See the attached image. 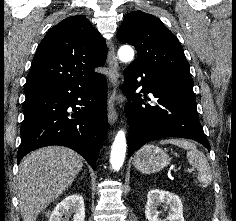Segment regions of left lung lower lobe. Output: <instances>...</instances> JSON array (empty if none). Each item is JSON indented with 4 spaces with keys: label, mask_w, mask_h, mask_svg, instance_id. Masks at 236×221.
<instances>
[{
    "label": "left lung lower lobe",
    "mask_w": 236,
    "mask_h": 221,
    "mask_svg": "<svg viewBox=\"0 0 236 221\" xmlns=\"http://www.w3.org/2000/svg\"><path fill=\"white\" fill-rule=\"evenodd\" d=\"M141 77L138 83L137 78ZM123 93L131 102L125 112L129 122L128 156L146 143L163 137L195 140L210 150L199 122L193 84L176 80L139 65L124 71ZM152 93L156 105L145 104L140 93ZM146 95V94H145Z\"/></svg>",
    "instance_id": "0a47b994"
}]
</instances>
